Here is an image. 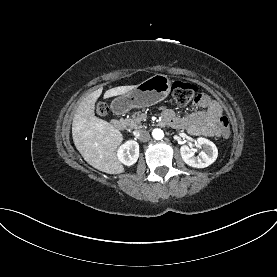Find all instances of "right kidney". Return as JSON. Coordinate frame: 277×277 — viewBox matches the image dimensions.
<instances>
[{"label":"right kidney","mask_w":277,"mask_h":277,"mask_svg":"<svg viewBox=\"0 0 277 277\" xmlns=\"http://www.w3.org/2000/svg\"><path fill=\"white\" fill-rule=\"evenodd\" d=\"M117 156L124 165H133L139 157V144L133 140L127 141L119 147Z\"/></svg>","instance_id":"1"}]
</instances>
